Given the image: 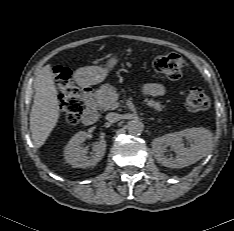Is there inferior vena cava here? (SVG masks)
I'll list each match as a JSON object with an SVG mask.
<instances>
[{
    "instance_id": "inferior-vena-cava-1",
    "label": "inferior vena cava",
    "mask_w": 234,
    "mask_h": 231,
    "mask_svg": "<svg viewBox=\"0 0 234 231\" xmlns=\"http://www.w3.org/2000/svg\"><path fill=\"white\" fill-rule=\"evenodd\" d=\"M120 119H121V117H120V114H118V113L111 112V113H108L106 115V120H108L109 122H112V123L117 122Z\"/></svg>"
}]
</instances>
